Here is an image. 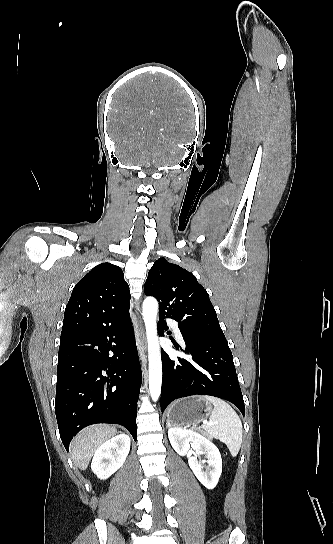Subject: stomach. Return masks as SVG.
Here are the masks:
<instances>
[{"mask_svg":"<svg viewBox=\"0 0 333 544\" xmlns=\"http://www.w3.org/2000/svg\"><path fill=\"white\" fill-rule=\"evenodd\" d=\"M212 410L211 403L197 396L174 402L167 411V417L174 425H192L206 419Z\"/></svg>","mask_w":333,"mask_h":544,"instance_id":"0dacf381","label":"stomach"}]
</instances>
